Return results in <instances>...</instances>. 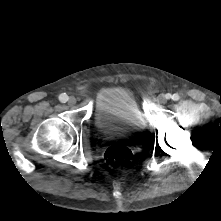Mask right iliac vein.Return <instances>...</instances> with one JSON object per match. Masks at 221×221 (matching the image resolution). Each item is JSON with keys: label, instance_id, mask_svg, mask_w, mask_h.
<instances>
[{"label": "right iliac vein", "instance_id": "63e3f726", "mask_svg": "<svg viewBox=\"0 0 221 221\" xmlns=\"http://www.w3.org/2000/svg\"><path fill=\"white\" fill-rule=\"evenodd\" d=\"M68 103H69L70 105H74V104L76 103V98L73 97V96L69 97Z\"/></svg>", "mask_w": 221, "mask_h": 221}]
</instances>
